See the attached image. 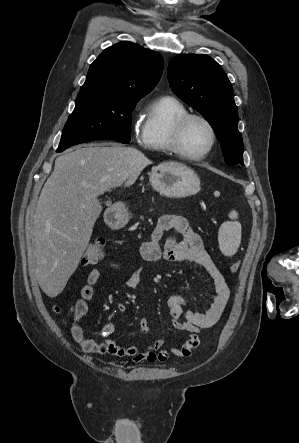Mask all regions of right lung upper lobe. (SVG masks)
<instances>
[{"mask_svg": "<svg viewBox=\"0 0 299 443\" xmlns=\"http://www.w3.org/2000/svg\"><path fill=\"white\" fill-rule=\"evenodd\" d=\"M162 71L163 58L158 52L122 41L105 49L90 65L78 94L140 100L156 86Z\"/></svg>", "mask_w": 299, "mask_h": 443, "instance_id": "cb5924a9", "label": "right lung upper lobe"}]
</instances>
